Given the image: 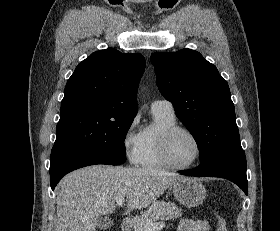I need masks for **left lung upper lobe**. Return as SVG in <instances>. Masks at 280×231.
Instances as JSON below:
<instances>
[{"label": "left lung upper lobe", "mask_w": 280, "mask_h": 231, "mask_svg": "<svg viewBox=\"0 0 280 231\" xmlns=\"http://www.w3.org/2000/svg\"><path fill=\"white\" fill-rule=\"evenodd\" d=\"M157 86L194 137L201 163L240 144L234 104L217 68L194 50L153 53Z\"/></svg>", "instance_id": "1"}]
</instances>
